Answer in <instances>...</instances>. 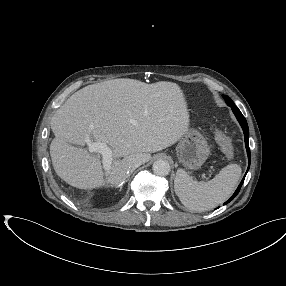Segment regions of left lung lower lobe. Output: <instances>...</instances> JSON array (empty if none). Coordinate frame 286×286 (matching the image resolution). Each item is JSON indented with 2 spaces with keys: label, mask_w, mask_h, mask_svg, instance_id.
I'll use <instances>...</instances> for the list:
<instances>
[{
  "label": "left lung lower lobe",
  "mask_w": 286,
  "mask_h": 286,
  "mask_svg": "<svg viewBox=\"0 0 286 286\" xmlns=\"http://www.w3.org/2000/svg\"><path fill=\"white\" fill-rule=\"evenodd\" d=\"M232 111L233 113L235 114L237 120L239 121L242 129H243V132H244V140H245V146H246V149H247V155H248V159H249V165H248V169L247 171L249 170V167H250V158H251V154H250V148H249V129H248V124H247V121L245 119V117L242 115V113L240 112V110L238 108H232ZM247 173V172H246ZM246 176V174H245ZM245 176L243 178V180L241 181V183L239 184L238 188L236 189V191L234 192V194L232 195V197L227 200L224 204H227L229 203L231 200H233L236 195L239 193V190L244 182V179H245Z\"/></svg>",
  "instance_id": "0a47b994"
}]
</instances>
